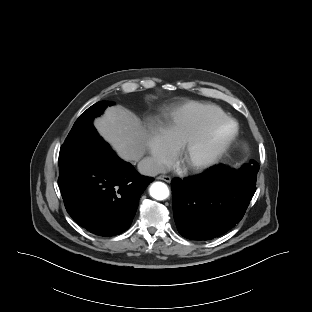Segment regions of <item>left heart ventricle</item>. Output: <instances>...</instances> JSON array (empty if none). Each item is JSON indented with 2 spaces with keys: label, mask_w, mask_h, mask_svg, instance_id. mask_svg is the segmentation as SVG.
I'll return each mask as SVG.
<instances>
[{
  "label": "left heart ventricle",
  "mask_w": 312,
  "mask_h": 312,
  "mask_svg": "<svg viewBox=\"0 0 312 312\" xmlns=\"http://www.w3.org/2000/svg\"><path fill=\"white\" fill-rule=\"evenodd\" d=\"M227 128H221L211 139L194 149L185 159L184 164L193 163L203 158L212 146L226 134Z\"/></svg>",
  "instance_id": "1"
}]
</instances>
